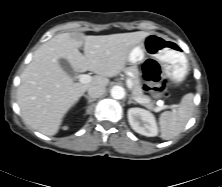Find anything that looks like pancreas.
Returning <instances> with one entry per match:
<instances>
[{
  "label": "pancreas",
  "mask_w": 222,
  "mask_h": 187,
  "mask_svg": "<svg viewBox=\"0 0 222 187\" xmlns=\"http://www.w3.org/2000/svg\"><path fill=\"white\" fill-rule=\"evenodd\" d=\"M127 71L132 73V77H130L132 81V95L134 97L143 99L144 101L140 104L147 107L148 109L154 110L155 112L160 111L161 108L156 107L154 103L151 101L150 97L145 95L142 90V86L140 83L139 71L136 67H129Z\"/></svg>",
  "instance_id": "obj_1"
}]
</instances>
